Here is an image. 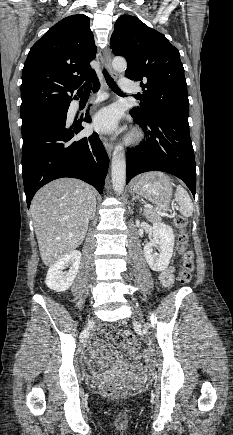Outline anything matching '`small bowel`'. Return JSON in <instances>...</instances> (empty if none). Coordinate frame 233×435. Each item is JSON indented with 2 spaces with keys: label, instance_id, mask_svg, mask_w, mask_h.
<instances>
[{
  "label": "small bowel",
  "instance_id": "obj_1",
  "mask_svg": "<svg viewBox=\"0 0 233 435\" xmlns=\"http://www.w3.org/2000/svg\"><path fill=\"white\" fill-rule=\"evenodd\" d=\"M159 281L164 287H171L174 282L173 268L166 267L159 275ZM125 350L132 357V361H124L118 354L117 350L106 345L100 341L91 349L90 353L86 355L85 360L92 365V370L99 373L102 370L106 371H123V372H137L142 373L145 371V365L139 360L136 349L131 345H125ZM103 360H109L110 364L104 365Z\"/></svg>",
  "mask_w": 233,
  "mask_h": 435
}]
</instances>
